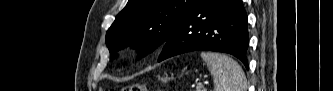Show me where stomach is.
Segmentation results:
<instances>
[{
	"label": "stomach",
	"instance_id": "obj_1",
	"mask_svg": "<svg viewBox=\"0 0 333 91\" xmlns=\"http://www.w3.org/2000/svg\"><path fill=\"white\" fill-rule=\"evenodd\" d=\"M161 81L166 83L168 81V78L167 77L161 78Z\"/></svg>",
	"mask_w": 333,
	"mask_h": 91
}]
</instances>
